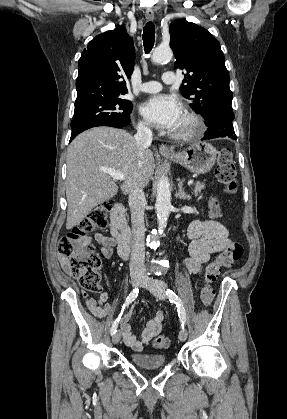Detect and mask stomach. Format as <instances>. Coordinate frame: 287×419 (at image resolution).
Returning <instances> with one entry per match:
<instances>
[{
    "label": "stomach",
    "instance_id": "1",
    "mask_svg": "<svg viewBox=\"0 0 287 419\" xmlns=\"http://www.w3.org/2000/svg\"><path fill=\"white\" fill-rule=\"evenodd\" d=\"M217 150L207 142H197L170 159L196 174L209 172L216 162Z\"/></svg>",
    "mask_w": 287,
    "mask_h": 419
}]
</instances>
